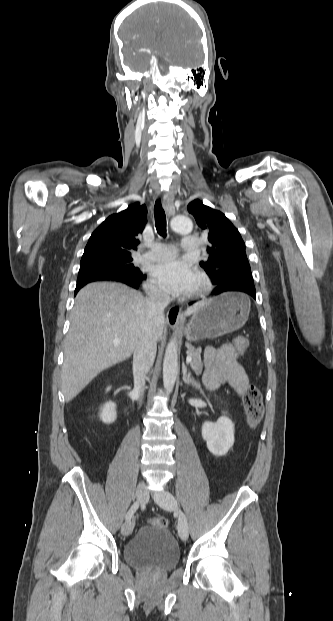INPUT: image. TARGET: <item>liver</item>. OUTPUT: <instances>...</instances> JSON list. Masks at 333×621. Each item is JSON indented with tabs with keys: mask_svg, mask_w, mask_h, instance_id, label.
I'll return each instance as SVG.
<instances>
[{
	"mask_svg": "<svg viewBox=\"0 0 333 621\" xmlns=\"http://www.w3.org/2000/svg\"><path fill=\"white\" fill-rule=\"evenodd\" d=\"M204 305L197 302L185 315ZM165 319H148L146 298L117 283H91L75 298L71 326L64 341L62 392L66 402L75 398L101 371L128 359L146 326L163 336ZM118 341V342H115Z\"/></svg>",
	"mask_w": 333,
	"mask_h": 621,
	"instance_id": "6515ba94",
	"label": "liver"
}]
</instances>
